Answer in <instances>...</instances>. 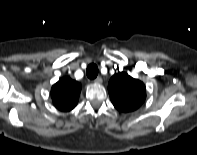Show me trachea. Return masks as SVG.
Masks as SVG:
<instances>
[{
	"label": "trachea",
	"instance_id": "3493384b",
	"mask_svg": "<svg viewBox=\"0 0 197 155\" xmlns=\"http://www.w3.org/2000/svg\"><path fill=\"white\" fill-rule=\"evenodd\" d=\"M87 77L95 79L98 75V67L95 64H90L86 70Z\"/></svg>",
	"mask_w": 197,
	"mask_h": 155
}]
</instances>
